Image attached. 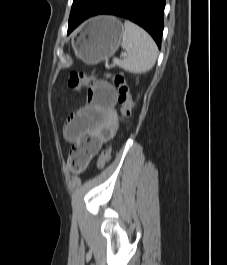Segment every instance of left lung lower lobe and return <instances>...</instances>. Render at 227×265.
Wrapping results in <instances>:
<instances>
[{
  "label": "left lung lower lobe",
  "instance_id": "1",
  "mask_svg": "<svg viewBox=\"0 0 227 265\" xmlns=\"http://www.w3.org/2000/svg\"><path fill=\"white\" fill-rule=\"evenodd\" d=\"M164 7L165 0H105L89 17L110 14L129 19L143 27L160 48L164 27ZM82 21L73 24L68 29V34Z\"/></svg>",
  "mask_w": 227,
  "mask_h": 265
}]
</instances>
